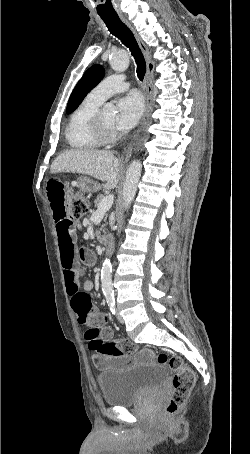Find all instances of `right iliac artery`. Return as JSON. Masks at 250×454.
<instances>
[{
  "label": "right iliac artery",
  "mask_w": 250,
  "mask_h": 454,
  "mask_svg": "<svg viewBox=\"0 0 250 454\" xmlns=\"http://www.w3.org/2000/svg\"><path fill=\"white\" fill-rule=\"evenodd\" d=\"M107 304L110 308V311L112 312V314H115L116 313V307H115V299H108L107 300Z\"/></svg>",
  "instance_id": "82829eb1"
}]
</instances>
